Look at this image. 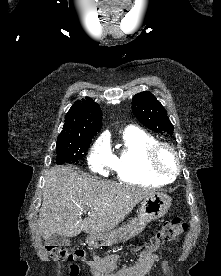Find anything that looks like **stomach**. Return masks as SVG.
Masks as SVG:
<instances>
[{
	"label": "stomach",
	"mask_w": 221,
	"mask_h": 276,
	"mask_svg": "<svg viewBox=\"0 0 221 276\" xmlns=\"http://www.w3.org/2000/svg\"><path fill=\"white\" fill-rule=\"evenodd\" d=\"M172 199L163 193H154L143 199L138 217L127 225L109 233L90 234L87 243L91 246H111L125 242L140 234L152 220L163 217L171 206Z\"/></svg>",
	"instance_id": "1"
}]
</instances>
